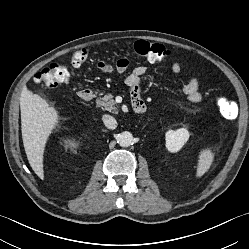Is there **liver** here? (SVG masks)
<instances>
[{
	"instance_id": "6515ba94",
	"label": "liver",
	"mask_w": 249,
	"mask_h": 249,
	"mask_svg": "<svg viewBox=\"0 0 249 249\" xmlns=\"http://www.w3.org/2000/svg\"><path fill=\"white\" fill-rule=\"evenodd\" d=\"M20 107L24 149L33 171L43 180L45 145L60 117L58 111L46 99L28 89L21 93Z\"/></svg>"
}]
</instances>
